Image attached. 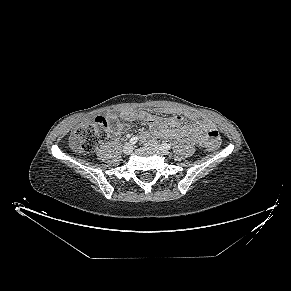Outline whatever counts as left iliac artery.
Returning a JSON list of instances; mask_svg holds the SVG:
<instances>
[{"instance_id":"obj_1","label":"left iliac artery","mask_w":291,"mask_h":291,"mask_svg":"<svg viewBox=\"0 0 291 291\" xmlns=\"http://www.w3.org/2000/svg\"><path fill=\"white\" fill-rule=\"evenodd\" d=\"M162 146L166 149H170L171 148V144L170 143H167V142H164L162 143Z\"/></svg>"}]
</instances>
